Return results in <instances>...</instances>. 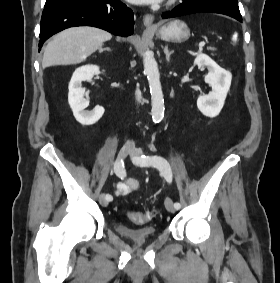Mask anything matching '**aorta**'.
Returning <instances> with one entry per match:
<instances>
[{"label": "aorta", "instance_id": "762f6f07", "mask_svg": "<svg viewBox=\"0 0 280 283\" xmlns=\"http://www.w3.org/2000/svg\"><path fill=\"white\" fill-rule=\"evenodd\" d=\"M143 64L151 94L152 120L160 122L164 117V98L160 83V73L153 54L146 52L143 56Z\"/></svg>", "mask_w": 280, "mask_h": 283}]
</instances>
